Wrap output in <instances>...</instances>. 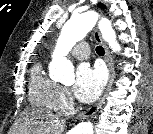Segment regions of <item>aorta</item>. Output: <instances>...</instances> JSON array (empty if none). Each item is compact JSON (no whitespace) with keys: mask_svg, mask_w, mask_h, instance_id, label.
<instances>
[{"mask_svg":"<svg viewBox=\"0 0 153 134\" xmlns=\"http://www.w3.org/2000/svg\"><path fill=\"white\" fill-rule=\"evenodd\" d=\"M97 16L94 12L74 15L62 28L52 54L50 74L63 84L74 82V67L66 58L76 42L82 40L94 27ZM103 39L108 42L113 52H119L121 47L116 41V34L111 23L104 19L99 24ZM74 134H94L93 125L83 122L74 128Z\"/></svg>","mask_w":153,"mask_h":134,"instance_id":"aorta-1","label":"aorta"}]
</instances>
